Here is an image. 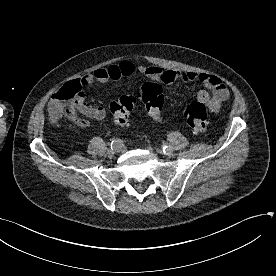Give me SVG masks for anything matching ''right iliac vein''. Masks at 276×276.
Listing matches in <instances>:
<instances>
[{
	"mask_svg": "<svg viewBox=\"0 0 276 276\" xmlns=\"http://www.w3.org/2000/svg\"><path fill=\"white\" fill-rule=\"evenodd\" d=\"M123 147H113L111 149H108L107 153L108 155H113L115 152H121Z\"/></svg>",
	"mask_w": 276,
	"mask_h": 276,
	"instance_id": "63e3f726",
	"label": "right iliac vein"
}]
</instances>
